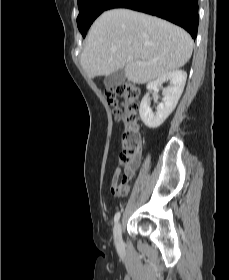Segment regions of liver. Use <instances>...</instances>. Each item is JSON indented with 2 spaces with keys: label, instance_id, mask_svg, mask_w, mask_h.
Here are the masks:
<instances>
[{
  "label": "liver",
  "instance_id": "6515ba94",
  "mask_svg": "<svg viewBox=\"0 0 229 280\" xmlns=\"http://www.w3.org/2000/svg\"><path fill=\"white\" fill-rule=\"evenodd\" d=\"M192 51L193 40L182 28L143 13L113 9L93 23L81 66L89 78L124 69L129 81L144 84L184 66Z\"/></svg>",
  "mask_w": 229,
  "mask_h": 280
}]
</instances>
